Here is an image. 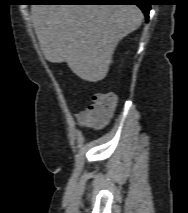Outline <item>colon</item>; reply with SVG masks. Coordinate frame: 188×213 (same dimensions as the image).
<instances>
[{
	"instance_id": "colon-1",
	"label": "colon",
	"mask_w": 188,
	"mask_h": 213,
	"mask_svg": "<svg viewBox=\"0 0 188 213\" xmlns=\"http://www.w3.org/2000/svg\"><path fill=\"white\" fill-rule=\"evenodd\" d=\"M117 97L113 93H97L93 95L91 104L87 107L88 115L94 124L105 121L114 111Z\"/></svg>"
}]
</instances>
